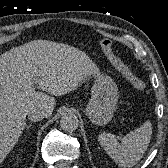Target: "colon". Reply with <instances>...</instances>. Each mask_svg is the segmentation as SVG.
<instances>
[{"label":"colon","instance_id":"colon-1","mask_svg":"<svg viewBox=\"0 0 168 168\" xmlns=\"http://www.w3.org/2000/svg\"><path fill=\"white\" fill-rule=\"evenodd\" d=\"M100 46L110 60V62L114 65V67L122 73L137 90L143 91L146 87L145 82L135 75L120 59V57L116 54L113 48V42L110 38H102L100 40Z\"/></svg>","mask_w":168,"mask_h":168}]
</instances>
